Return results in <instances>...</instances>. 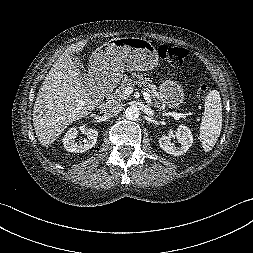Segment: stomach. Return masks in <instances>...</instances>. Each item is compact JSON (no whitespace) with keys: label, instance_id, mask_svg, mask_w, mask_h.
<instances>
[{"label":"stomach","instance_id":"1","mask_svg":"<svg viewBox=\"0 0 253 253\" xmlns=\"http://www.w3.org/2000/svg\"><path fill=\"white\" fill-rule=\"evenodd\" d=\"M159 57L155 46L142 38H115L98 48L90 60L93 76H119L124 70H152L158 65ZM161 102L169 108H178L184 100L182 86L174 80L160 83Z\"/></svg>","mask_w":253,"mask_h":253}]
</instances>
